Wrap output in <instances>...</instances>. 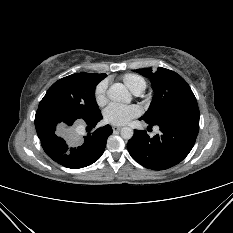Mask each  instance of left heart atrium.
<instances>
[{"instance_id":"39dd6f15","label":"left heart atrium","mask_w":233,"mask_h":233,"mask_svg":"<svg viewBox=\"0 0 233 233\" xmlns=\"http://www.w3.org/2000/svg\"><path fill=\"white\" fill-rule=\"evenodd\" d=\"M140 114L135 105H120L112 103L103 111V119L111 125H125Z\"/></svg>"}]
</instances>
